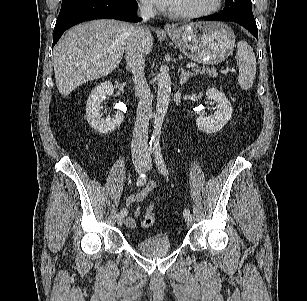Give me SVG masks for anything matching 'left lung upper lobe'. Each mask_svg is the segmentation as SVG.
Masks as SVG:
<instances>
[{
	"label": "left lung upper lobe",
	"mask_w": 307,
	"mask_h": 301,
	"mask_svg": "<svg viewBox=\"0 0 307 301\" xmlns=\"http://www.w3.org/2000/svg\"><path fill=\"white\" fill-rule=\"evenodd\" d=\"M220 13L253 15L252 2L251 0H226L225 7Z\"/></svg>",
	"instance_id": "left-lung-upper-lobe-1"
}]
</instances>
